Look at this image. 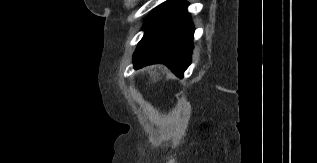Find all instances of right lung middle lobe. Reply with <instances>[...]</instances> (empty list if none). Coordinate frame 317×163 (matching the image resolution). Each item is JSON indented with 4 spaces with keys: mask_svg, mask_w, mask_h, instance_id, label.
Wrapping results in <instances>:
<instances>
[{
    "mask_svg": "<svg viewBox=\"0 0 317 163\" xmlns=\"http://www.w3.org/2000/svg\"><path fill=\"white\" fill-rule=\"evenodd\" d=\"M176 2H166L160 5L157 9L153 10L149 18L145 21L143 29L146 30L152 26L156 21H158L163 15H165Z\"/></svg>",
    "mask_w": 317,
    "mask_h": 163,
    "instance_id": "right-lung-middle-lobe-1",
    "label": "right lung middle lobe"
}]
</instances>
